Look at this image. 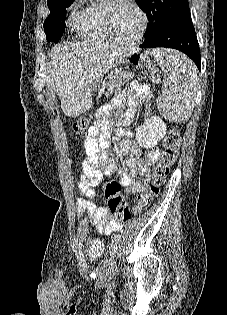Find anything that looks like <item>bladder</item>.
I'll use <instances>...</instances> for the list:
<instances>
[{"label":"bladder","instance_id":"31cf9c89","mask_svg":"<svg viewBox=\"0 0 227 315\" xmlns=\"http://www.w3.org/2000/svg\"><path fill=\"white\" fill-rule=\"evenodd\" d=\"M104 252L105 244L101 240L94 239L87 245V257L91 261L102 258Z\"/></svg>","mask_w":227,"mask_h":315}]
</instances>
